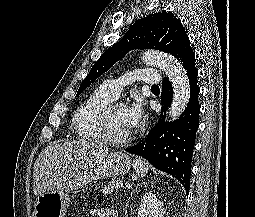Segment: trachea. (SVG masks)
Returning <instances> with one entry per match:
<instances>
[{
	"label": "trachea",
	"mask_w": 255,
	"mask_h": 217,
	"mask_svg": "<svg viewBox=\"0 0 255 217\" xmlns=\"http://www.w3.org/2000/svg\"><path fill=\"white\" fill-rule=\"evenodd\" d=\"M152 88L153 89H159L158 85H153Z\"/></svg>",
	"instance_id": "obj_1"
}]
</instances>
